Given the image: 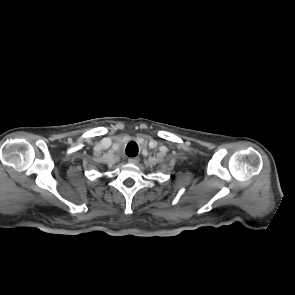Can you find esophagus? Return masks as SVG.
Instances as JSON below:
<instances>
[{"label": "esophagus", "mask_w": 295, "mask_h": 295, "mask_svg": "<svg viewBox=\"0 0 295 295\" xmlns=\"http://www.w3.org/2000/svg\"><path fill=\"white\" fill-rule=\"evenodd\" d=\"M128 162L131 164H137L139 162V158L138 157H131L128 159Z\"/></svg>", "instance_id": "34e87169"}]
</instances>
